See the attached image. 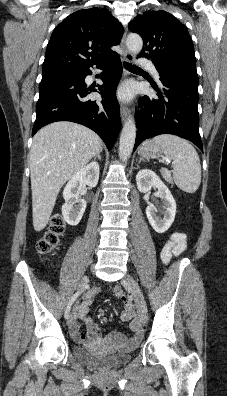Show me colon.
Instances as JSON below:
<instances>
[{
	"instance_id": "1",
	"label": "colon",
	"mask_w": 227,
	"mask_h": 396,
	"mask_svg": "<svg viewBox=\"0 0 227 396\" xmlns=\"http://www.w3.org/2000/svg\"><path fill=\"white\" fill-rule=\"evenodd\" d=\"M65 230V223L60 215L52 218L50 227L44 236L37 242V251L46 255L52 253L59 245L60 238ZM125 299L124 295L120 296Z\"/></svg>"
}]
</instances>
